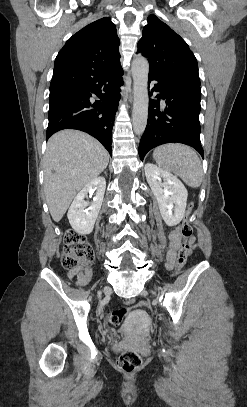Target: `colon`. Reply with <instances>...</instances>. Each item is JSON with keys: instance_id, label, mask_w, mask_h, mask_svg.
Returning <instances> with one entry per match:
<instances>
[{"instance_id": "5ec220e1", "label": "colon", "mask_w": 247, "mask_h": 407, "mask_svg": "<svg viewBox=\"0 0 247 407\" xmlns=\"http://www.w3.org/2000/svg\"><path fill=\"white\" fill-rule=\"evenodd\" d=\"M193 206L190 205L187 215L180 225V234L183 242L178 250V255L175 263V273H179L184 267L188 254L191 249L189 239L192 236V227L190 224V216ZM93 261V250L90 244L86 241L85 237L74 231L68 230L64 236V249L61 255V262L64 268L74 269L77 267H87ZM126 305H135L138 308H148L147 301L136 302L135 298L131 297L125 301ZM127 313L126 309L111 310L106 312L108 322L113 325H118L122 322ZM142 360L140 356L133 351H124L117 359V367L127 373L131 374L140 369Z\"/></svg>"}]
</instances>
